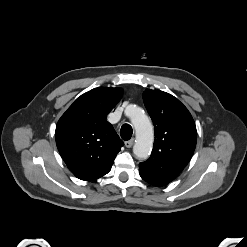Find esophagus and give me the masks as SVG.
I'll return each instance as SVG.
<instances>
[{
  "label": "esophagus",
  "mask_w": 247,
  "mask_h": 247,
  "mask_svg": "<svg viewBox=\"0 0 247 247\" xmlns=\"http://www.w3.org/2000/svg\"><path fill=\"white\" fill-rule=\"evenodd\" d=\"M133 144H134V139H130V140L125 142V146L127 148H131L133 146Z\"/></svg>",
  "instance_id": "34e87169"
}]
</instances>
